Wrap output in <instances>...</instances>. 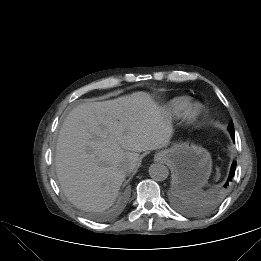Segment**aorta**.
<instances>
[{
  "label": "aorta",
  "instance_id": "obj_1",
  "mask_svg": "<svg viewBox=\"0 0 261 261\" xmlns=\"http://www.w3.org/2000/svg\"><path fill=\"white\" fill-rule=\"evenodd\" d=\"M149 175L156 181H163L168 177L169 170L165 165L155 163L149 167Z\"/></svg>",
  "mask_w": 261,
  "mask_h": 261
}]
</instances>
